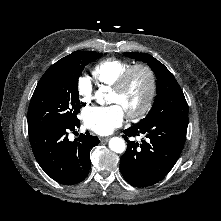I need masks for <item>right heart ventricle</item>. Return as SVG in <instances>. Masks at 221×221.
Wrapping results in <instances>:
<instances>
[{"label": "right heart ventricle", "instance_id": "1", "mask_svg": "<svg viewBox=\"0 0 221 221\" xmlns=\"http://www.w3.org/2000/svg\"><path fill=\"white\" fill-rule=\"evenodd\" d=\"M131 66L132 63L127 60L107 58L93 67L92 74L98 82L113 87L120 76Z\"/></svg>", "mask_w": 221, "mask_h": 221}]
</instances>
